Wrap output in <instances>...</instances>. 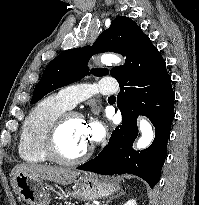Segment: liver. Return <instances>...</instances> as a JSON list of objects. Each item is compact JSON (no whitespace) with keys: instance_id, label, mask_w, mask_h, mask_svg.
<instances>
[{"instance_id":"6515ba94","label":"liver","mask_w":199,"mask_h":205,"mask_svg":"<svg viewBox=\"0 0 199 205\" xmlns=\"http://www.w3.org/2000/svg\"><path fill=\"white\" fill-rule=\"evenodd\" d=\"M19 173L31 175L61 185H69L73 183L77 176L80 174L79 171L49 165L18 164L12 169L10 173V182L15 192H17L15 189V178Z\"/></svg>"}]
</instances>
